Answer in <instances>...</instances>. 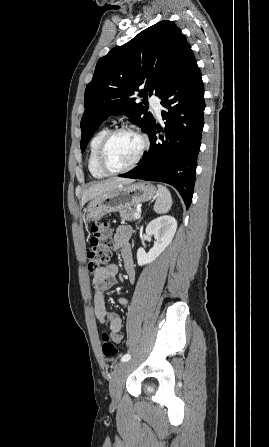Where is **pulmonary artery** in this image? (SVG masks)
<instances>
[{
    "mask_svg": "<svg viewBox=\"0 0 269 447\" xmlns=\"http://www.w3.org/2000/svg\"><path fill=\"white\" fill-rule=\"evenodd\" d=\"M150 103H151L152 108L154 109V113H155V115H156L158 118H160V117H161V111H162V109H163V107H162V105H161V103H160V99L157 98V97H152V98L150 99Z\"/></svg>",
    "mask_w": 269,
    "mask_h": 447,
    "instance_id": "e3ab8cb5",
    "label": "pulmonary artery"
}]
</instances>
